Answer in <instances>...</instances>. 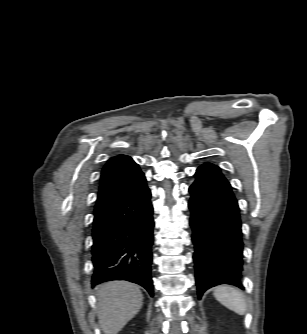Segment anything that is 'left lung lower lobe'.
I'll list each match as a JSON object with an SVG mask.
<instances>
[{
    "label": "left lung lower lobe",
    "instance_id": "left-lung-lower-lobe-1",
    "mask_svg": "<svg viewBox=\"0 0 307 334\" xmlns=\"http://www.w3.org/2000/svg\"><path fill=\"white\" fill-rule=\"evenodd\" d=\"M195 176L189 188V209L198 297L220 284L243 289V242L237 200L219 167L205 163Z\"/></svg>",
    "mask_w": 307,
    "mask_h": 334
}]
</instances>
